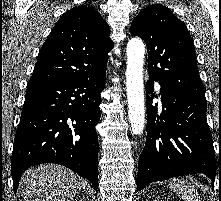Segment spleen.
<instances>
[{"label":"spleen","instance_id":"3e777b00","mask_svg":"<svg viewBox=\"0 0 221 201\" xmlns=\"http://www.w3.org/2000/svg\"><path fill=\"white\" fill-rule=\"evenodd\" d=\"M169 187L183 201H200V196L195 186L183 179H173L169 183Z\"/></svg>","mask_w":221,"mask_h":201}]
</instances>
